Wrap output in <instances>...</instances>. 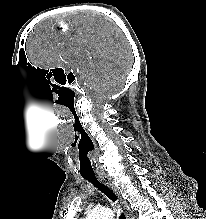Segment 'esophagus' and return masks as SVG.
Segmentation results:
<instances>
[{
    "label": "esophagus",
    "instance_id": "esophagus-1",
    "mask_svg": "<svg viewBox=\"0 0 206 219\" xmlns=\"http://www.w3.org/2000/svg\"><path fill=\"white\" fill-rule=\"evenodd\" d=\"M98 179L104 183L105 185H107L118 197V200L124 210V213L126 215L127 219H133V214L132 211L130 209V206L128 204V202L124 199V197L122 196L120 190L118 189V187L115 185L114 181L112 180V178L107 175V174H98Z\"/></svg>",
    "mask_w": 206,
    "mask_h": 219
}]
</instances>
